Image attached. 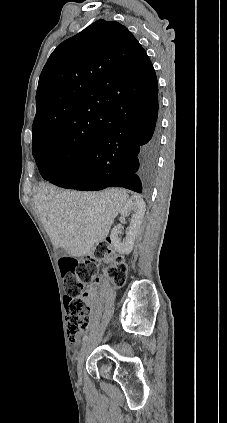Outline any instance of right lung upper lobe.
Here are the masks:
<instances>
[{"mask_svg":"<svg viewBox=\"0 0 227 423\" xmlns=\"http://www.w3.org/2000/svg\"><path fill=\"white\" fill-rule=\"evenodd\" d=\"M157 89L152 63L132 33L98 20L62 42L39 78L33 142L55 137L72 147L92 145L106 128L122 123L108 109Z\"/></svg>","mask_w":227,"mask_h":423,"instance_id":"cb5924a9","label":"right lung upper lobe"}]
</instances>
